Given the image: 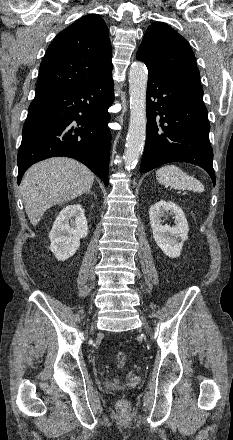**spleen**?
<instances>
[{
    "label": "spleen",
    "instance_id": "3e777b00",
    "mask_svg": "<svg viewBox=\"0 0 233 440\" xmlns=\"http://www.w3.org/2000/svg\"><path fill=\"white\" fill-rule=\"evenodd\" d=\"M156 178L158 182L165 186H170L177 190H190L202 193L203 184L195 177L183 172L176 165H165L157 170Z\"/></svg>",
    "mask_w": 233,
    "mask_h": 440
}]
</instances>
